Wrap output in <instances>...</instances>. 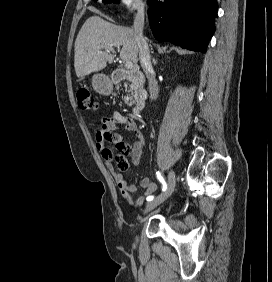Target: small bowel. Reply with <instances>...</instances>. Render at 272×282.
<instances>
[{"label": "small bowel", "mask_w": 272, "mask_h": 282, "mask_svg": "<svg viewBox=\"0 0 272 282\" xmlns=\"http://www.w3.org/2000/svg\"><path fill=\"white\" fill-rule=\"evenodd\" d=\"M115 128H125L133 132L136 136V141L130 149L129 155L131 157L132 163L134 165H138L140 163L141 155L144 148L146 147L147 141L145 135L137 129L136 123L132 118L123 116L120 113L115 112L109 118L104 119L102 122V129L97 131L95 135L96 147L98 149L102 147V131ZM105 164L109 172L112 174V177L119 189L120 194L127 201V203L132 206H141L145 201V197L154 193L158 188V185L155 182H153L149 177H145L140 182V186L143 189L145 195H140L134 198L132 194L135 191V185L128 183L124 176L115 169L110 161H106Z\"/></svg>", "instance_id": "c3829d8e"}]
</instances>
